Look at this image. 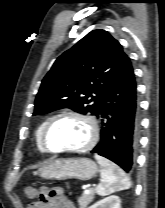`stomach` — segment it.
<instances>
[{
	"instance_id": "1",
	"label": "stomach",
	"mask_w": 165,
	"mask_h": 208,
	"mask_svg": "<svg viewBox=\"0 0 165 208\" xmlns=\"http://www.w3.org/2000/svg\"><path fill=\"white\" fill-rule=\"evenodd\" d=\"M98 167L88 158H58L39 169V175L49 180H89L97 174Z\"/></svg>"
}]
</instances>
